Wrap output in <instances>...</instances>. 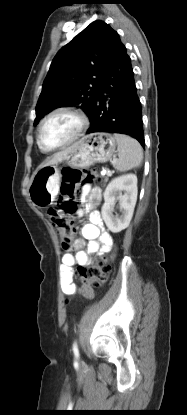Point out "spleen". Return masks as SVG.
Masks as SVG:
<instances>
[{"label":"spleen","mask_w":187,"mask_h":415,"mask_svg":"<svg viewBox=\"0 0 187 415\" xmlns=\"http://www.w3.org/2000/svg\"><path fill=\"white\" fill-rule=\"evenodd\" d=\"M117 141L118 159L114 161V167L119 172L140 167L143 161V150L139 142L127 135L114 134Z\"/></svg>","instance_id":"obj_1"}]
</instances>
